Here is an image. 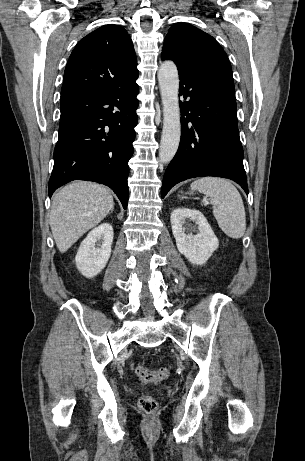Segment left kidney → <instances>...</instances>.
Segmentation results:
<instances>
[{
  "instance_id": "5707ae66",
  "label": "left kidney",
  "mask_w": 305,
  "mask_h": 461,
  "mask_svg": "<svg viewBox=\"0 0 305 461\" xmlns=\"http://www.w3.org/2000/svg\"><path fill=\"white\" fill-rule=\"evenodd\" d=\"M171 228L179 252L191 264H205L219 246V241L210 224L199 210L187 208L173 210ZM190 229H197V234L188 232Z\"/></svg>"
}]
</instances>
